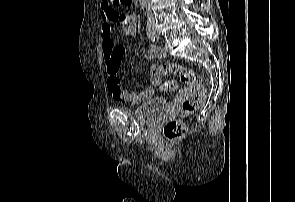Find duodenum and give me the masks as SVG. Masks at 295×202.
<instances>
[{
    "label": "duodenum",
    "instance_id": "1",
    "mask_svg": "<svg viewBox=\"0 0 295 202\" xmlns=\"http://www.w3.org/2000/svg\"><path fill=\"white\" fill-rule=\"evenodd\" d=\"M137 1L141 8H145L147 0H137Z\"/></svg>",
    "mask_w": 295,
    "mask_h": 202
}]
</instances>
